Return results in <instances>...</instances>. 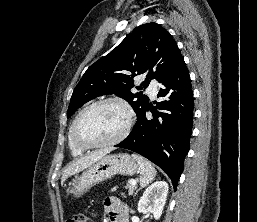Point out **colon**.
I'll return each instance as SVG.
<instances>
[{
  "label": "colon",
  "instance_id": "1",
  "mask_svg": "<svg viewBox=\"0 0 257 222\" xmlns=\"http://www.w3.org/2000/svg\"><path fill=\"white\" fill-rule=\"evenodd\" d=\"M67 222H93V216L90 213H79L67 220Z\"/></svg>",
  "mask_w": 257,
  "mask_h": 222
}]
</instances>
